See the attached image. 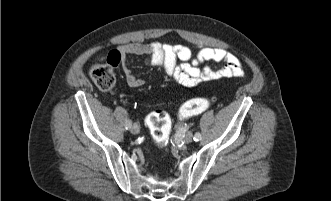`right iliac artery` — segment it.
I'll return each mask as SVG.
<instances>
[{"instance_id": "1", "label": "right iliac artery", "mask_w": 331, "mask_h": 201, "mask_svg": "<svg viewBox=\"0 0 331 201\" xmlns=\"http://www.w3.org/2000/svg\"><path fill=\"white\" fill-rule=\"evenodd\" d=\"M131 126H132L131 121L130 120H127L126 123H125V128L128 130V129L131 128Z\"/></svg>"}]
</instances>
